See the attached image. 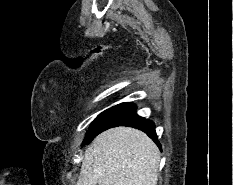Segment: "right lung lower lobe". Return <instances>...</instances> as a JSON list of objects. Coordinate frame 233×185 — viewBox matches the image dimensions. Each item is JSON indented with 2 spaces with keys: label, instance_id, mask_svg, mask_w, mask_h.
Returning <instances> with one entry per match:
<instances>
[{
  "label": "right lung lower lobe",
  "instance_id": "98d812e1",
  "mask_svg": "<svg viewBox=\"0 0 233 185\" xmlns=\"http://www.w3.org/2000/svg\"><path fill=\"white\" fill-rule=\"evenodd\" d=\"M122 125L134 127L145 132L161 149V145L157 139V135L154 129V123L150 120L138 116L136 114V106L131 103H121L117 105L103 120L99 133L106 129Z\"/></svg>",
  "mask_w": 233,
  "mask_h": 185
}]
</instances>
